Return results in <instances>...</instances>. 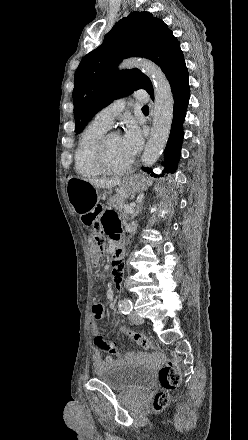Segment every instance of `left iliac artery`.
Returning a JSON list of instances; mask_svg holds the SVG:
<instances>
[{
    "label": "left iliac artery",
    "instance_id": "obj_1",
    "mask_svg": "<svg viewBox=\"0 0 248 440\" xmlns=\"http://www.w3.org/2000/svg\"><path fill=\"white\" fill-rule=\"evenodd\" d=\"M120 309L123 314H129L132 310V302L129 299H123L120 303Z\"/></svg>",
    "mask_w": 248,
    "mask_h": 440
}]
</instances>
